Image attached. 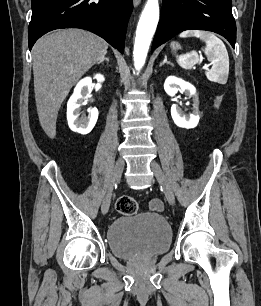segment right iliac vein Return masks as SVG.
<instances>
[{
    "label": "right iliac vein",
    "mask_w": 261,
    "mask_h": 306,
    "mask_svg": "<svg viewBox=\"0 0 261 306\" xmlns=\"http://www.w3.org/2000/svg\"><path fill=\"white\" fill-rule=\"evenodd\" d=\"M123 169H124V160L122 158H118V160L116 161L114 170H113V174H112L111 181L108 187L107 195L105 196L102 206H101V211L103 214H106L109 210L110 201H111V192L113 190L114 185L119 182Z\"/></svg>",
    "instance_id": "63e3f726"
}]
</instances>
